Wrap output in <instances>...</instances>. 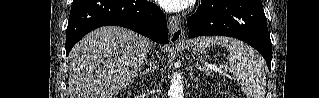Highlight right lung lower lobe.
<instances>
[{"label": "right lung lower lobe", "instance_id": "1", "mask_svg": "<svg viewBox=\"0 0 319 98\" xmlns=\"http://www.w3.org/2000/svg\"><path fill=\"white\" fill-rule=\"evenodd\" d=\"M108 25L122 26L158 43H168L165 14L143 0H73L68 20L66 56L90 31Z\"/></svg>", "mask_w": 319, "mask_h": 98}]
</instances>
